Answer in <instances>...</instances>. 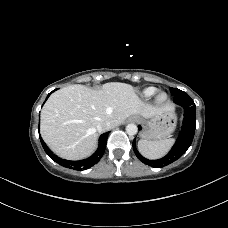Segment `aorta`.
<instances>
[{
	"instance_id": "obj_1",
	"label": "aorta",
	"mask_w": 228,
	"mask_h": 228,
	"mask_svg": "<svg viewBox=\"0 0 228 228\" xmlns=\"http://www.w3.org/2000/svg\"><path fill=\"white\" fill-rule=\"evenodd\" d=\"M138 131V128L135 124H128L126 126V132L128 135H135Z\"/></svg>"
}]
</instances>
